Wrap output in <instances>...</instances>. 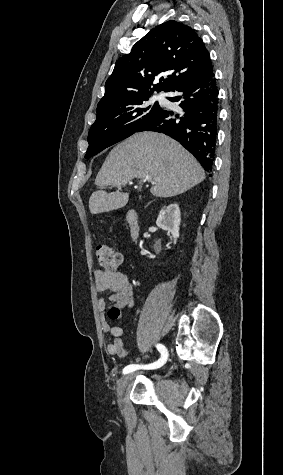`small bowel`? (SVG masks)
Here are the masks:
<instances>
[{
    "mask_svg": "<svg viewBox=\"0 0 283 475\" xmlns=\"http://www.w3.org/2000/svg\"><path fill=\"white\" fill-rule=\"evenodd\" d=\"M94 279L97 293H110L108 302L103 297L98 299L101 330L107 336L106 351L112 356L126 358L128 351L123 342V329L119 326L124 323L121 309H132L135 305L130 282L127 275L119 269H96ZM107 311L110 321L107 319Z\"/></svg>",
    "mask_w": 283,
    "mask_h": 475,
    "instance_id": "small-bowel-1",
    "label": "small bowel"
}]
</instances>
